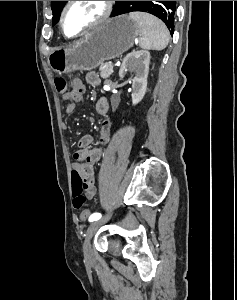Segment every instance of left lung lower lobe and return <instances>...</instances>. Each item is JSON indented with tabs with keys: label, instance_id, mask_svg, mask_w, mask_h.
Returning <instances> with one entry per match:
<instances>
[{
	"label": "left lung lower lobe",
	"instance_id": "1",
	"mask_svg": "<svg viewBox=\"0 0 237 300\" xmlns=\"http://www.w3.org/2000/svg\"><path fill=\"white\" fill-rule=\"evenodd\" d=\"M163 3L165 4V3H167V1H163ZM112 16H117V15H115V14L113 13Z\"/></svg>",
	"mask_w": 237,
	"mask_h": 300
}]
</instances>
